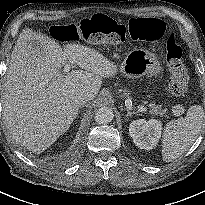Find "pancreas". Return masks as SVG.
Returning a JSON list of instances; mask_svg holds the SVG:
<instances>
[{"instance_id": "1", "label": "pancreas", "mask_w": 205, "mask_h": 205, "mask_svg": "<svg viewBox=\"0 0 205 205\" xmlns=\"http://www.w3.org/2000/svg\"><path fill=\"white\" fill-rule=\"evenodd\" d=\"M149 109H150V113L151 114H155V115H160L162 116L163 114L166 113V109L162 108V105H156L154 103L149 104Z\"/></svg>"}]
</instances>
